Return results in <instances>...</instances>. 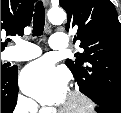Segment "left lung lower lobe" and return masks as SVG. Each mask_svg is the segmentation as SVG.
I'll return each instance as SVG.
<instances>
[{"label":"left lung lower lobe","mask_w":121,"mask_h":113,"mask_svg":"<svg viewBox=\"0 0 121 113\" xmlns=\"http://www.w3.org/2000/svg\"><path fill=\"white\" fill-rule=\"evenodd\" d=\"M99 108V113H121V105L106 99L94 100Z\"/></svg>","instance_id":"0a47b994"}]
</instances>
